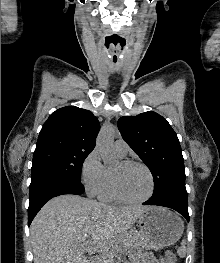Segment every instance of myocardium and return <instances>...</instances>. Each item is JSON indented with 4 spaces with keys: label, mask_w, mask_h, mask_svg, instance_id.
<instances>
[{
    "label": "myocardium",
    "mask_w": 220,
    "mask_h": 263,
    "mask_svg": "<svg viewBox=\"0 0 220 263\" xmlns=\"http://www.w3.org/2000/svg\"><path fill=\"white\" fill-rule=\"evenodd\" d=\"M120 163L123 166H132V165L141 166L147 172L149 176L150 190H149V193L145 197L140 198V199H129L125 197L120 190L118 177L116 173L112 170L111 171L112 189H113L114 195L117 198V200L123 203H126V204H142L148 201L153 196L154 191H155V178H154V175L151 169L145 163L137 161V160H123Z\"/></svg>",
    "instance_id": "f54148a6"
}]
</instances>
